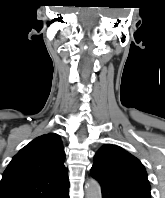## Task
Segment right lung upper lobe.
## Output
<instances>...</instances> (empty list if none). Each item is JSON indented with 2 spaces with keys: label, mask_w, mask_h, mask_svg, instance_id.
Listing matches in <instances>:
<instances>
[{
  "label": "right lung upper lobe",
  "mask_w": 165,
  "mask_h": 198,
  "mask_svg": "<svg viewBox=\"0 0 165 198\" xmlns=\"http://www.w3.org/2000/svg\"><path fill=\"white\" fill-rule=\"evenodd\" d=\"M59 135L44 134L22 148L4 171L0 198H60L69 188Z\"/></svg>",
  "instance_id": "right-lung-upper-lobe-1"
}]
</instances>
